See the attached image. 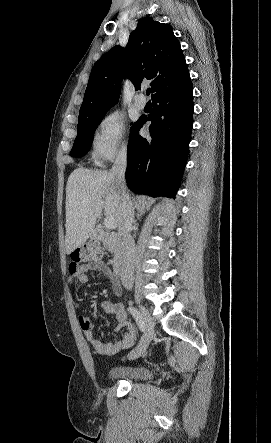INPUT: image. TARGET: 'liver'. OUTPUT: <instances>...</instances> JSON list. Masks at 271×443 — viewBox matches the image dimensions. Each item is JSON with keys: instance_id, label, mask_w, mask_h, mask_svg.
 Masks as SVG:
<instances>
[{"instance_id": "obj_1", "label": "liver", "mask_w": 271, "mask_h": 443, "mask_svg": "<svg viewBox=\"0 0 271 443\" xmlns=\"http://www.w3.org/2000/svg\"><path fill=\"white\" fill-rule=\"evenodd\" d=\"M66 253L82 245L94 231L95 223L104 210L119 225L121 220L120 192L107 170L76 168L66 186Z\"/></svg>"}]
</instances>
